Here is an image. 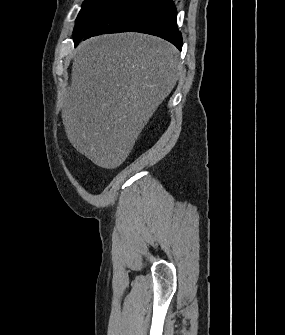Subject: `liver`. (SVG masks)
Instances as JSON below:
<instances>
[{
	"label": "liver",
	"mask_w": 285,
	"mask_h": 335,
	"mask_svg": "<svg viewBox=\"0 0 285 335\" xmlns=\"http://www.w3.org/2000/svg\"><path fill=\"white\" fill-rule=\"evenodd\" d=\"M179 70L176 48L155 36L126 32L81 42L62 108L70 144L100 168L121 166Z\"/></svg>",
	"instance_id": "liver-1"
}]
</instances>
